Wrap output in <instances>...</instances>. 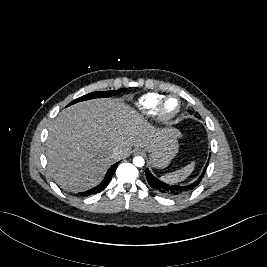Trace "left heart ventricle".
I'll list each match as a JSON object with an SVG mask.
<instances>
[{"label":"left heart ventricle","mask_w":267,"mask_h":267,"mask_svg":"<svg viewBox=\"0 0 267 267\" xmlns=\"http://www.w3.org/2000/svg\"><path fill=\"white\" fill-rule=\"evenodd\" d=\"M178 103L175 99H170L165 103L164 112L171 114L177 109Z\"/></svg>","instance_id":"left-heart-ventricle-1"}]
</instances>
